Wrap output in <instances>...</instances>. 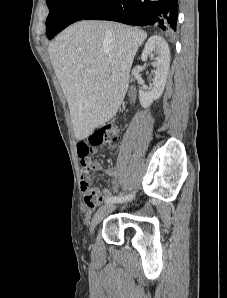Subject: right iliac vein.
<instances>
[{"label":"right iliac vein","instance_id":"1","mask_svg":"<svg viewBox=\"0 0 227 298\" xmlns=\"http://www.w3.org/2000/svg\"><path fill=\"white\" fill-rule=\"evenodd\" d=\"M115 209V205L113 204H106L102 206L94 215L91 223V232H93L95 226L100 223L106 215H108L111 211Z\"/></svg>","mask_w":227,"mask_h":298}]
</instances>
